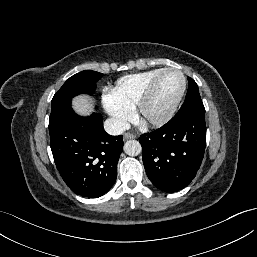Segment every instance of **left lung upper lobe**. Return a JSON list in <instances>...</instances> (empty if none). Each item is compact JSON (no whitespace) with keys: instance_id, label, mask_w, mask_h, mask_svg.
Segmentation results:
<instances>
[{"instance_id":"1","label":"left lung upper lobe","mask_w":257,"mask_h":257,"mask_svg":"<svg viewBox=\"0 0 257 257\" xmlns=\"http://www.w3.org/2000/svg\"><path fill=\"white\" fill-rule=\"evenodd\" d=\"M188 81H189V88L186 94L185 101L176 115H184L188 113L205 114V108L199 94L198 85L190 77H188Z\"/></svg>"}]
</instances>
